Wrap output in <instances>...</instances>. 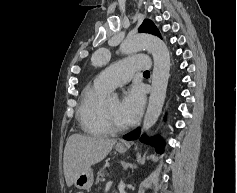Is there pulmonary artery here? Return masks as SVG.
Masks as SVG:
<instances>
[{
	"label": "pulmonary artery",
	"instance_id": "e3ab8cb5",
	"mask_svg": "<svg viewBox=\"0 0 237 193\" xmlns=\"http://www.w3.org/2000/svg\"><path fill=\"white\" fill-rule=\"evenodd\" d=\"M149 66V59L146 56L127 58L97 75L96 81L108 89H113L127 83L135 71L147 70Z\"/></svg>",
	"mask_w": 237,
	"mask_h": 193
}]
</instances>
